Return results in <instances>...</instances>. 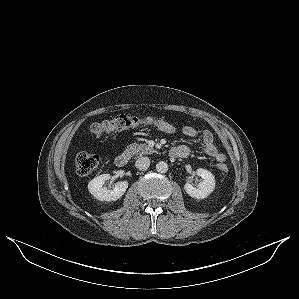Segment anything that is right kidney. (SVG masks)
<instances>
[{"instance_id":"right-kidney-1","label":"right kidney","mask_w":299,"mask_h":299,"mask_svg":"<svg viewBox=\"0 0 299 299\" xmlns=\"http://www.w3.org/2000/svg\"><path fill=\"white\" fill-rule=\"evenodd\" d=\"M110 179L109 174H102L92 179L88 184L89 192L99 201H116L128 188L127 181L117 182L113 189H107L104 187L105 181Z\"/></svg>"}]
</instances>
